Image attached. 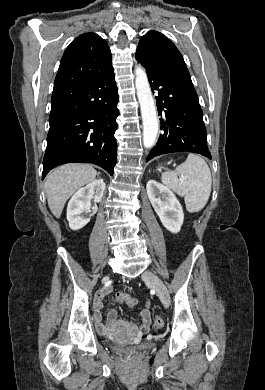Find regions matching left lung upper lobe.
Returning a JSON list of instances; mask_svg holds the SVG:
<instances>
[{
	"instance_id": "5c2ea615",
	"label": "left lung upper lobe",
	"mask_w": 265,
	"mask_h": 390,
	"mask_svg": "<svg viewBox=\"0 0 265 390\" xmlns=\"http://www.w3.org/2000/svg\"><path fill=\"white\" fill-rule=\"evenodd\" d=\"M136 59L148 68L169 71L188 72L184 59L176 46L165 35L149 31L140 39Z\"/></svg>"
}]
</instances>
